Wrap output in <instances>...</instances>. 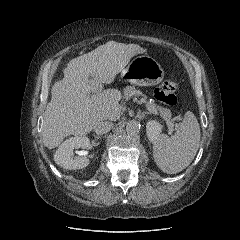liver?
I'll return each mask as SVG.
<instances>
[{"instance_id":"6515ba94","label":"liver","mask_w":240,"mask_h":240,"mask_svg":"<svg viewBox=\"0 0 240 240\" xmlns=\"http://www.w3.org/2000/svg\"><path fill=\"white\" fill-rule=\"evenodd\" d=\"M144 52L137 44L108 41L72 59L64 69V78L51 89L42 125L44 145L53 149L67 136L88 134L99 121L117 120L121 115V93L115 89L96 90L112 83L132 57Z\"/></svg>"}]
</instances>
